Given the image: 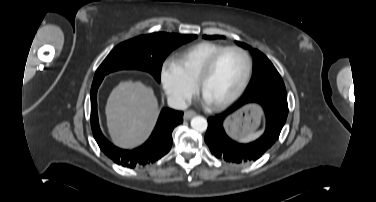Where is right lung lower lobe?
<instances>
[{"label": "right lung lower lobe", "mask_w": 376, "mask_h": 202, "mask_svg": "<svg viewBox=\"0 0 376 202\" xmlns=\"http://www.w3.org/2000/svg\"><path fill=\"white\" fill-rule=\"evenodd\" d=\"M104 78V77H103ZM103 78L91 87V128L101 151L116 164L134 168L137 165L153 163L169 152L172 146V131L183 121V112L170 108L161 111L156 127L150 138L134 150H123L112 145L102 134L97 114V90Z\"/></svg>", "instance_id": "obj_1"}]
</instances>
